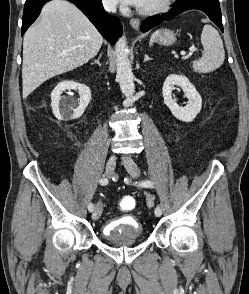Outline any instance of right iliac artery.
Segmentation results:
<instances>
[{"instance_id":"obj_1","label":"right iliac artery","mask_w":249,"mask_h":294,"mask_svg":"<svg viewBox=\"0 0 249 294\" xmlns=\"http://www.w3.org/2000/svg\"><path fill=\"white\" fill-rule=\"evenodd\" d=\"M99 182H100L101 185H107V184H108V179L105 178V177H103V178L100 179ZM88 210H89L90 212H92V211L94 210V205H93L92 203H90V204L88 205Z\"/></svg>"}]
</instances>
